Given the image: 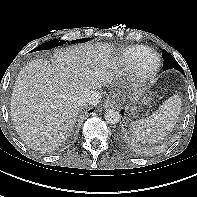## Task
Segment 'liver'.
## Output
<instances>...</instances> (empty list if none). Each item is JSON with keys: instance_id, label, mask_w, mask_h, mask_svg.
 Listing matches in <instances>:
<instances>
[{"instance_id": "liver-1", "label": "liver", "mask_w": 197, "mask_h": 197, "mask_svg": "<svg viewBox=\"0 0 197 197\" xmlns=\"http://www.w3.org/2000/svg\"><path fill=\"white\" fill-rule=\"evenodd\" d=\"M107 43H86L56 51L55 60L36 59L18 74L11 97V117L22 141L35 150L56 149L71 132L82 100L117 74Z\"/></svg>"}]
</instances>
